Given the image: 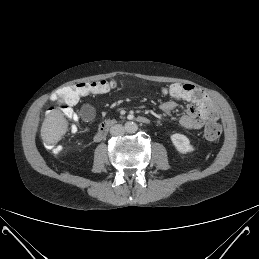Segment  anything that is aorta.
I'll return each instance as SVG.
<instances>
[{"mask_svg": "<svg viewBox=\"0 0 259 259\" xmlns=\"http://www.w3.org/2000/svg\"><path fill=\"white\" fill-rule=\"evenodd\" d=\"M125 130L127 133H136L138 130V125L134 122H127L125 123Z\"/></svg>", "mask_w": 259, "mask_h": 259, "instance_id": "aorta-1", "label": "aorta"}]
</instances>
